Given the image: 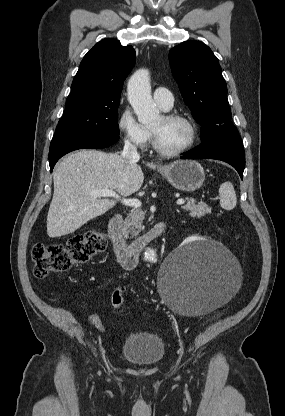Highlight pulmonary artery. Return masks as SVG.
Returning a JSON list of instances; mask_svg holds the SVG:
<instances>
[{
    "instance_id": "1",
    "label": "pulmonary artery",
    "mask_w": 285,
    "mask_h": 416,
    "mask_svg": "<svg viewBox=\"0 0 285 416\" xmlns=\"http://www.w3.org/2000/svg\"><path fill=\"white\" fill-rule=\"evenodd\" d=\"M154 98L162 109L169 110L173 106L175 95L171 93L170 87H157Z\"/></svg>"
}]
</instances>
